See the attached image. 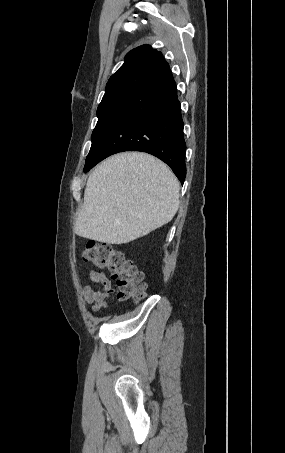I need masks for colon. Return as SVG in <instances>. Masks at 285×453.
<instances>
[{"instance_id": "colon-1", "label": "colon", "mask_w": 285, "mask_h": 453, "mask_svg": "<svg viewBox=\"0 0 285 453\" xmlns=\"http://www.w3.org/2000/svg\"><path fill=\"white\" fill-rule=\"evenodd\" d=\"M83 259L111 272L120 300L138 301L144 297V274L121 251L106 244L89 241L83 251Z\"/></svg>"}]
</instances>
